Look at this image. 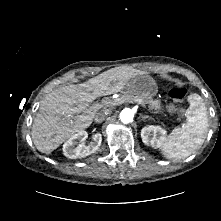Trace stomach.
Returning a JSON list of instances; mask_svg holds the SVG:
<instances>
[{
  "mask_svg": "<svg viewBox=\"0 0 221 221\" xmlns=\"http://www.w3.org/2000/svg\"><path fill=\"white\" fill-rule=\"evenodd\" d=\"M126 89L133 94L141 95L144 98H151L156 93L155 84L146 76H138L131 80Z\"/></svg>",
  "mask_w": 221,
  "mask_h": 221,
  "instance_id": "1",
  "label": "stomach"
}]
</instances>
